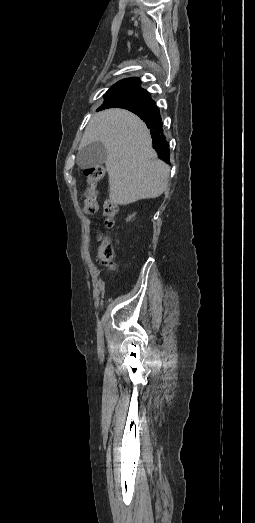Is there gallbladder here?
<instances>
[{
  "label": "gallbladder",
  "instance_id": "1",
  "mask_svg": "<svg viewBox=\"0 0 255 523\" xmlns=\"http://www.w3.org/2000/svg\"><path fill=\"white\" fill-rule=\"evenodd\" d=\"M107 150L102 142H91L82 150H79L76 156V164L81 170L88 168H100L106 162Z\"/></svg>",
  "mask_w": 255,
  "mask_h": 523
}]
</instances>
